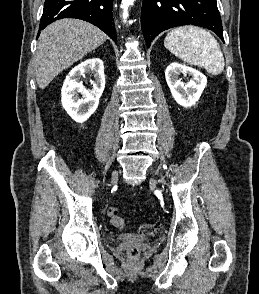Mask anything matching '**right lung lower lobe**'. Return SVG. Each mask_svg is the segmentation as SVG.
Listing matches in <instances>:
<instances>
[{
    "label": "right lung lower lobe",
    "mask_w": 259,
    "mask_h": 294,
    "mask_svg": "<svg viewBox=\"0 0 259 294\" xmlns=\"http://www.w3.org/2000/svg\"><path fill=\"white\" fill-rule=\"evenodd\" d=\"M113 0H45L39 32L61 18H78L88 21L103 30L113 41H117L112 22Z\"/></svg>",
    "instance_id": "obj_1"
}]
</instances>
